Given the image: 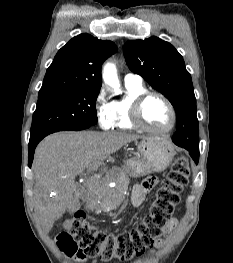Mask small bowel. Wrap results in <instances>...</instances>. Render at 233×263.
<instances>
[{
    "label": "small bowel",
    "instance_id": "small-bowel-1",
    "mask_svg": "<svg viewBox=\"0 0 233 263\" xmlns=\"http://www.w3.org/2000/svg\"><path fill=\"white\" fill-rule=\"evenodd\" d=\"M157 184V180L155 178H148L144 180L141 184L136 185L133 188L132 192V203L136 206H139L143 200L145 199L148 192ZM178 225L177 218H171L166 226L165 232L172 231ZM163 245V239L155 240L153 244V248L151 249V253H154L157 249H159Z\"/></svg>",
    "mask_w": 233,
    "mask_h": 263
}]
</instances>
